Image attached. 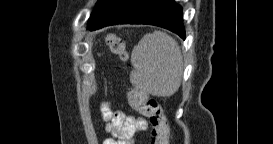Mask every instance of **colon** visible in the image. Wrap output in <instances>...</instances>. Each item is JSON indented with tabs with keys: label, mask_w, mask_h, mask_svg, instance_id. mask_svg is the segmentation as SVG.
I'll list each match as a JSON object with an SVG mask.
<instances>
[{
	"label": "colon",
	"mask_w": 273,
	"mask_h": 144,
	"mask_svg": "<svg viewBox=\"0 0 273 144\" xmlns=\"http://www.w3.org/2000/svg\"><path fill=\"white\" fill-rule=\"evenodd\" d=\"M111 49L126 57L123 41L114 36L109 39ZM131 106L140 114L147 117L151 125V144H169L170 130L167 118L157 100L150 97L146 92L132 88L129 92Z\"/></svg>",
	"instance_id": "5ec220e1"
}]
</instances>
